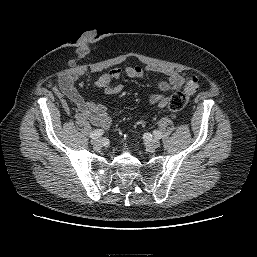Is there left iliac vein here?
Returning a JSON list of instances; mask_svg holds the SVG:
<instances>
[{
    "mask_svg": "<svg viewBox=\"0 0 257 257\" xmlns=\"http://www.w3.org/2000/svg\"><path fill=\"white\" fill-rule=\"evenodd\" d=\"M147 146L151 150H155L160 146L159 140L153 138L147 141Z\"/></svg>",
    "mask_w": 257,
    "mask_h": 257,
    "instance_id": "obj_1",
    "label": "left iliac vein"
}]
</instances>
